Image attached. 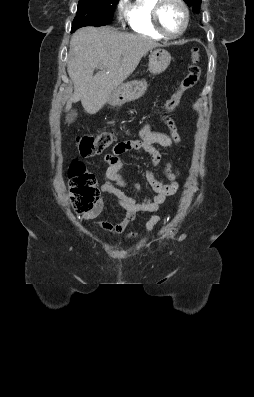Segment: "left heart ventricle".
<instances>
[{"mask_svg":"<svg viewBox=\"0 0 254 397\" xmlns=\"http://www.w3.org/2000/svg\"><path fill=\"white\" fill-rule=\"evenodd\" d=\"M160 19L163 28L170 34L180 31L183 24L182 8L173 1L164 4L161 10Z\"/></svg>","mask_w":254,"mask_h":397,"instance_id":"obj_1","label":"left heart ventricle"}]
</instances>
